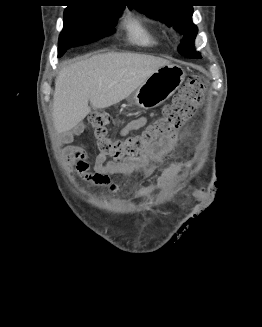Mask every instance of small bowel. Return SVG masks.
Masks as SVG:
<instances>
[{"mask_svg":"<svg viewBox=\"0 0 262 327\" xmlns=\"http://www.w3.org/2000/svg\"><path fill=\"white\" fill-rule=\"evenodd\" d=\"M148 122V118L141 116L128 121L119 131L121 136L128 135L133 130L144 127ZM82 128L81 125L76 126L72 131L67 133L64 140L70 142L73 135L78 133ZM177 142V134L153 145L144 154L135 160H128L120 164H115L106 160L102 154H98L93 172L90 171V163L86 158L83 148L78 146H67L63 151V159L65 163L75 169L78 175L85 181L97 186L107 187L112 193H118V186L111 180V175L130 176L138 173L142 176H150L164 155L170 152ZM182 163H173L167 167L158 180V187H170L176 181L179 173L183 168ZM152 187L146 186L140 190L141 194H147ZM191 195H196L197 199H204L207 194L206 188H191Z\"/></svg>","mask_w":262,"mask_h":327,"instance_id":"1","label":"small bowel"}]
</instances>
